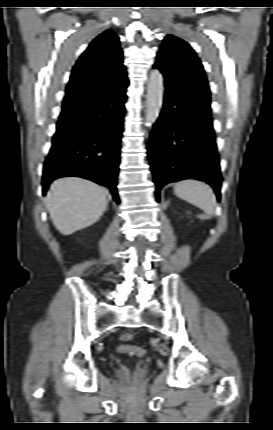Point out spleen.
Wrapping results in <instances>:
<instances>
[{
  "mask_svg": "<svg viewBox=\"0 0 273 430\" xmlns=\"http://www.w3.org/2000/svg\"><path fill=\"white\" fill-rule=\"evenodd\" d=\"M176 196L211 215L216 206V199L209 185L202 181L186 179L175 184Z\"/></svg>",
  "mask_w": 273,
  "mask_h": 430,
  "instance_id": "obj_1",
  "label": "spleen"
}]
</instances>
